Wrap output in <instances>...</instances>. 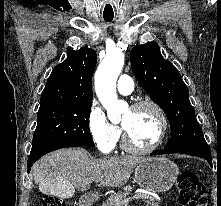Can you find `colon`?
<instances>
[{"mask_svg":"<svg viewBox=\"0 0 221 206\" xmlns=\"http://www.w3.org/2000/svg\"><path fill=\"white\" fill-rule=\"evenodd\" d=\"M179 198L182 206H210L207 190L198 176L191 171H183L177 180ZM41 206H67L60 198L44 195Z\"/></svg>","mask_w":221,"mask_h":206,"instance_id":"colon-1","label":"colon"}]
</instances>
